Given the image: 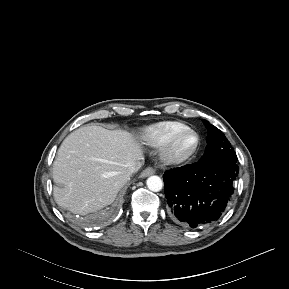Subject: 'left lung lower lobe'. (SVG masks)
Returning <instances> with one entry per match:
<instances>
[{"mask_svg":"<svg viewBox=\"0 0 289 289\" xmlns=\"http://www.w3.org/2000/svg\"><path fill=\"white\" fill-rule=\"evenodd\" d=\"M238 172L236 163L217 165L200 161L166 171L165 196L172 215L192 228L218 220L234 193Z\"/></svg>","mask_w":289,"mask_h":289,"instance_id":"0a47b994","label":"left lung lower lobe"}]
</instances>
